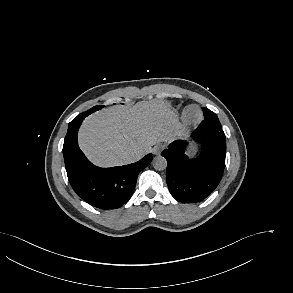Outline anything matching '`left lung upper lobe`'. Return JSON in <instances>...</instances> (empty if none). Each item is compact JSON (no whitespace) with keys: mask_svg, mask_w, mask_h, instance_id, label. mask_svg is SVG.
<instances>
[{"mask_svg":"<svg viewBox=\"0 0 293 293\" xmlns=\"http://www.w3.org/2000/svg\"><path fill=\"white\" fill-rule=\"evenodd\" d=\"M204 120L202 124L210 126L214 132H219L222 130L221 124L217 115L207 108H203Z\"/></svg>","mask_w":293,"mask_h":293,"instance_id":"1","label":"left lung upper lobe"}]
</instances>
